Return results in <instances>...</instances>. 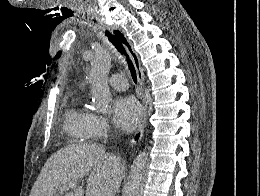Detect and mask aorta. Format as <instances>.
Wrapping results in <instances>:
<instances>
[{
  "label": "aorta",
  "mask_w": 260,
  "mask_h": 196,
  "mask_svg": "<svg viewBox=\"0 0 260 196\" xmlns=\"http://www.w3.org/2000/svg\"><path fill=\"white\" fill-rule=\"evenodd\" d=\"M111 59V53L108 50H97L91 61L89 73L92 102L95 108L103 113L109 111L112 101L107 83ZM148 163V153L144 150L139 153L131 166L126 196H142Z\"/></svg>",
  "instance_id": "obj_1"
}]
</instances>
